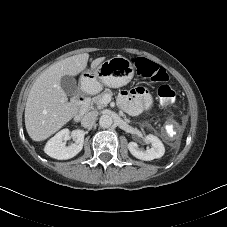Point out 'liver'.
<instances>
[{
    "instance_id": "1",
    "label": "liver",
    "mask_w": 227,
    "mask_h": 227,
    "mask_svg": "<svg viewBox=\"0 0 227 227\" xmlns=\"http://www.w3.org/2000/svg\"><path fill=\"white\" fill-rule=\"evenodd\" d=\"M88 59V53L68 57L52 64L35 80L25 107V126L32 140L49 138L77 114V105L68 102L60 81L62 76H76L84 71ZM104 60L105 57L96 58L91 68Z\"/></svg>"
}]
</instances>
